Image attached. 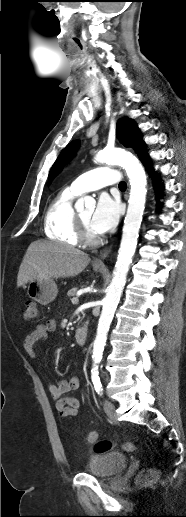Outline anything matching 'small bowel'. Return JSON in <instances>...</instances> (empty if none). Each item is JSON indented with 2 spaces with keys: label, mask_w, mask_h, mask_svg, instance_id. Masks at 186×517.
<instances>
[{
  "label": "small bowel",
  "mask_w": 186,
  "mask_h": 517,
  "mask_svg": "<svg viewBox=\"0 0 186 517\" xmlns=\"http://www.w3.org/2000/svg\"><path fill=\"white\" fill-rule=\"evenodd\" d=\"M56 330V322L48 320L45 323L38 324L25 337L23 348L26 354L31 358H36V346L46 339V337ZM80 387L78 377H71L69 380H56L48 384L49 392L55 401L56 409L61 417L76 416L80 409V401L66 394L70 391L77 390ZM97 439L98 434L92 431ZM87 441V437H86ZM88 442V441H87Z\"/></svg>",
  "instance_id": "obj_1"
}]
</instances>
